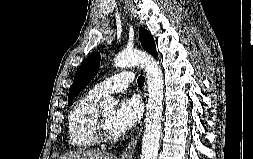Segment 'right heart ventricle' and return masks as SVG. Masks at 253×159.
<instances>
[{"mask_svg": "<svg viewBox=\"0 0 253 159\" xmlns=\"http://www.w3.org/2000/svg\"><path fill=\"white\" fill-rule=\"evenodd\" d=\"M102 96L92 91L83 96L71 109L68 116L69 144L77 149H91L98 143L95 136L97 103Z\"/></svg>", "mask_w": 253, "mask_h": 159, "instance_id": "1", "label": "right heart ventricle"}]
</instances>
